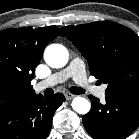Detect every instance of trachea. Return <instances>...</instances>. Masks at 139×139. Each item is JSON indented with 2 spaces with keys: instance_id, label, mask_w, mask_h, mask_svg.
Instances as JSON below:
<instances>
[{
  "instance_id": "1",
  "label": "trachea",
  "mask_w": 139,
  "mask_h": 139,
  "mask_svg": "<svg viewBox=\"0 0 139 139\" xmlns=\"http://www.w3.org/2000/svg\"><path fill=\"white\" fill-rule=\"evenodd\" d=\"M70 92L72 94H76V95L85 93V91L82 88H80V87H70ZM45 93L48 96H51L54 92H53L52 89L48 88V89H46Z\"/></svg>"
}]
</instances>
